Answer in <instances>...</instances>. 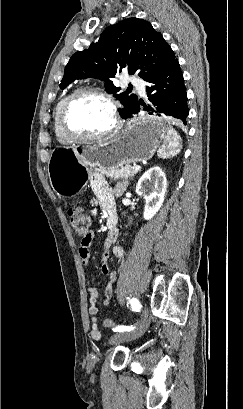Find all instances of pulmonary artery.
<instances>
[{
    "mask_svg": "<svg viewBox=\"0 0 243 409\" xmlns=\"http://www.w3.org/2000/svg\"><path fill=\"white\" fill-rule=\"evenodd\" d=\"M129 81L133 86H135L138 89L140 94L145 93V87H144V84H143L142 80H140L139 78L133 76V77L130 78Z\"/></svg>",
    "mask_w": 243,
    "mask_h": 409,
    "instance_id": "pulmonary-artery-1",
    "label": "pulmonary artery"
}]
</instances>
